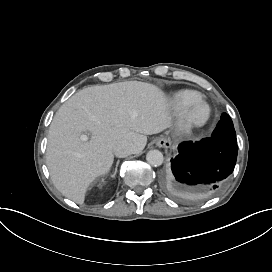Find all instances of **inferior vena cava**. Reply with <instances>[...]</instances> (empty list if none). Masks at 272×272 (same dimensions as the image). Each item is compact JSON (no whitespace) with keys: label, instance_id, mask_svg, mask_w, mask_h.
<instances>
[{"label":"inferior vena cava","instance_id":"1","mask_svg":"<svg viewBox=\"0 0 272 272\" xmlns=\"http://www.w3.org/2000/svg\"><path fill=\"white\" fill-rule=\"evenodd\" d=\"M113 151L116 157L124 158L134 153V146L127 141H123L117 144Z\"/></svg>","mask_w":272,"mask_h":272}]
</instances>
